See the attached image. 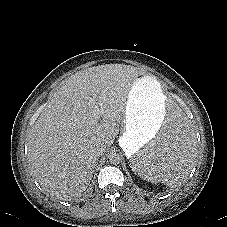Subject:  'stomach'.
<instances>
[{
    "label": "stomach",
    "instance_id": "obj_1",
    "mask_svg": "<svg viewBox=\"0 0 227 227\" xmlns=\"http://www.w3.org/2000/svg\"><path fill=\"white\" fill-rule=\"evenodd\" d=\"M166 106L159 81L147 73L138 75L127 99L120 140L128 159L163 128Z\"/></svg>",
    "mask_w": 227,
    "mask_h": 227
}]
</instances>
